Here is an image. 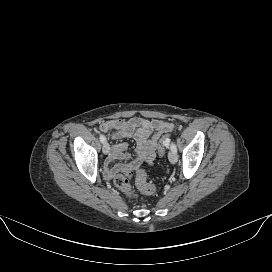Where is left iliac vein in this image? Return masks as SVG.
Instances as JSON below:
<instances>
[{"label": "left iliac vein", "mask_w": 272, "mask_h": 272, "mask_svg": "<svg viewBox=\"0 0 272 272\" xmlns=\"http://www.w3.org/2000/svg\"><path fill=\"white\" fill-rule=\"evenodd\" d=\"M168 158H169V161L172 163V164H175L178 160V157H177V154L170 151L169 154H168Z\"/></svg>", "instance_id": "4c4485c4"}]
</instances>
